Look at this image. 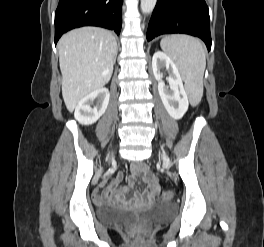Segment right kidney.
Segmentation results:
<instances>
[{"instance_id": "obj_1", "label": "right kidney", "mask_w": 264, "mask_h": 247, "mask_svg": "<svg viewBox=\"0 0 264 247\" xmlns=\"http://www.w3.org/2000/svg\"><path fill=\"white\" fill-rule=\"evenodd\" d=\"M110 94L107 88L97 89L79 101L74 117L82 125L95 123L106 111ZM96 101V106L92 105Z\"/></svg>"}]
</instances>
